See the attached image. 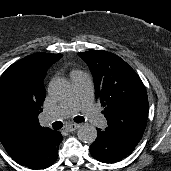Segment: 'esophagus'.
Here are the masks:
<instances>
[{
  "label": "esophagus",
  "instance_id": "34e87169",
  "mask_svg": "<svg viewBox=\"0 0 171 171\" xmlns=\"http://www.w3.org/2000/svg\"><path fill=\"white\" fill-rule=\"evenodd\" d=\"M80 127V125L78 124H69L65 127V130H67L68 132H72L75 131L76 129H78Z\"/></svg>",
  "mask_w": 171,
  "mask_h": 171
}]
</instances>
